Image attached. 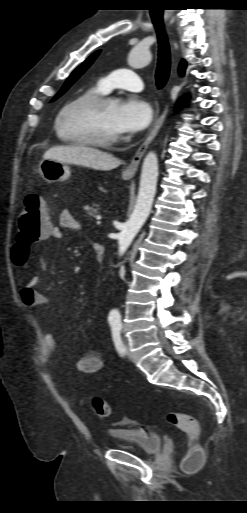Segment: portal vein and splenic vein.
Masks as SVG:
<instances>
[{"mask_svg":"<svg viewBox=\"0 0 247 513\" xmlns=\"http://www.w3.org/2000/svg\"><path fill=\"white\" fill-rule=\"evenodd\" d=\"M96 223H97V224H101V221H100V220H97V221H96Z\"/></svg>","mask_w":247,"mask_h":513,"instance_id":"obj_1","label":"portal vein and splenic vein"}]
</instances>
